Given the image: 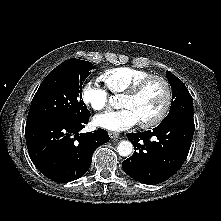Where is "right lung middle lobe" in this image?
Instances as JSON below:
<instances>
[{
    "label": "right lung middle lobe",
    "mask_w": 221,
    "mask_h": 221,
    "mask_svg": "<svg viewBox=\"0 0 221 221\" xmlns=\"http://www.w3.org/2000/svg\"><path fill=\"white\" fill-rule=\"evenodd\" d=\"M91 69V62L68 59L52 70L32 100L27 121L45 118L78 120L89 116L81 87Z\"/></svg>",
    "instance_id": "right-lung-middle-lobe-1"
}]
</instances>
